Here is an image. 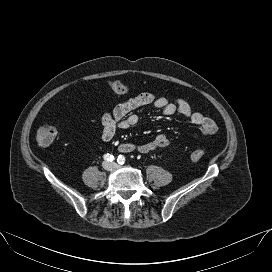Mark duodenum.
Returning a JSON list of instances; mask_svg holds the SVG:
<instances>
[{
    "instance_id": "duodenum-1",
    "label": "duodenum",
    "mask_w": 272,
    "mask_h": 272,
    "mask_svg": "<svg viewBox=\"0 0 272 272\" xmlns=\"http://www.w3.org/2000/svg\"><path fill=\"white\" fill-rule=\"evenodd\" d=\"M134 148L132 145L130 144H122L120 147H119V151L120 152H123V153H128V152H131L133 151Z\"/></svg>"
}]
</instances>
